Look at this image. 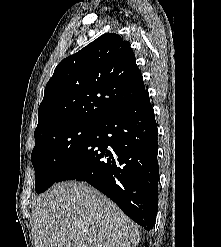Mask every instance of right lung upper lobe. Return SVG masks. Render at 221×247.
I'll use <instances>...</instances> for the list:
<instances>
[{"instance_id":"obj_1","label":"right lung upper lobe","mask_w":221,"mask_h":247,"mask_svg":"<svg viewBox=\"0 0 221 247\" xmlns=\"http://www.w3.org/2000/svg\"><path fill=\"white\" fill-rule=\"evenodd\" d=\"M144 90L129 42L115 33L103 34L57 65L34 135L69 122L99 123Z\"/></svg>"}]
</instances>
